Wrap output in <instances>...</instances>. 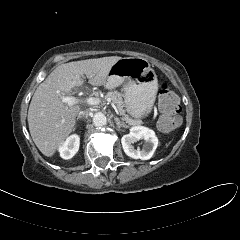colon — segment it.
Returning a JSON list of instances; mask_svg holds the SVG:
<instances>
[{
    "label": "colon",
    "mask_w": 240,
    "mask_h": 240,
    "mask_svg": "<svg viewBox=\"0 0 240 240\" xmlns=\"http://www.w3.org/2000/svg\"><path fill=\"white\" fill-rule=\"evenodd\" d=\"M159 126L164 131H169L177 127L180 123L179 100L172 89L164 84L159 91Z\"/></svg>",
    "instance_id": "colon-1"
}]
</instances>
